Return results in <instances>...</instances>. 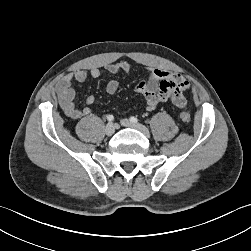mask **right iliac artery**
<instances>
[{
  "label": "right iliac artery",
  "instance_id": "82829eb1",
  "mask_svg": "<svg viewBox=\"0 0 251 251\" xmlns=\"http://www.w3.org/2000/svg\"><path fill=\"white\" fill-rule=\"evenodd\" d=\"M107 120H108L109 122H112V121L114 120V116H113V115H108V116H107Z\"/></svg>",
  "mask_w": 251,
  "mask_h": 251
}]
</instances>
